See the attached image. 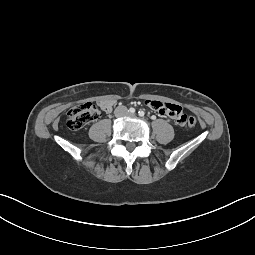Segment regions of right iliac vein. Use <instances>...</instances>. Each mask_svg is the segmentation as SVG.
Masks as SVG:
<instances>
[{
  "mask_svg": "<svg viewBox=\"0 0 255 255\" xmlns=\"http://www.w3.org/2000/svg\"><path fill=\"white\" fill-rule=\"evenodd\" d=\"M125 113V110L120 108L118 111H117V115L121 116Z\"/></svg>",
  "mask_w": 255,
  "mask_h": 255,
  "instance_id": "obj_1",
  "label": "right iliac vein"
}]
</instances>
